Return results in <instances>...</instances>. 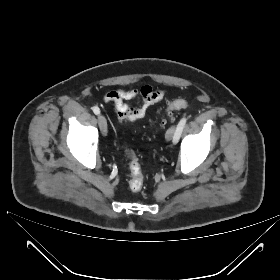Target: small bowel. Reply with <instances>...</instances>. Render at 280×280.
I'll return each instance as SVG.
<instances>
[{
	"label": "small bowel",
	"mask_w": 280,
	"mask_h": 280,
	"mask_svg": "<svg viewBox=\"0 0 280 280\" xmlns=\"http://www.w3.org/2000/svg\"><path fill=\"white\" fill-rule=\"evenodd\" d=\"M166 96V91L144 84L138 89H120L104 95V101L110 103L122 123H132L143 119L149 109ZM137 102L136 105L133 103Z\"/></svg>",
	"instance_id": "small-bowel-1"
}]
</instances>
